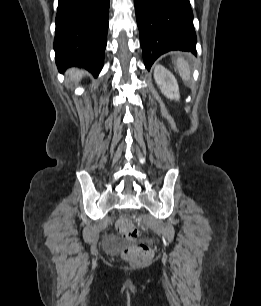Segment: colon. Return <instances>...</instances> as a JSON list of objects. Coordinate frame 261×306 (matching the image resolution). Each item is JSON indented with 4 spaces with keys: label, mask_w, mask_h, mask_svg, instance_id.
I'll list each match as a JSON object with an SVG mask.
<instances>
[{
    "label": "colon",
    "mask_w": 261,
    "mask_h": 306,
    "mask_svg": "<svg viewBox=\"0 0 261 306\" xmlns=\"http://www.w3.org/2000/svg\"><path fill=\"white\" fill-rule=\"evenodd\" d=\"M118 230L121 236L127 240H132L137 235V230L129 219H122L118 224ZM151 257V249L145 245H131L123 251L124 260L132 266L145 265L150 261Z\"/></svg>",
    "instance_id": "1"
}]
</instances>
